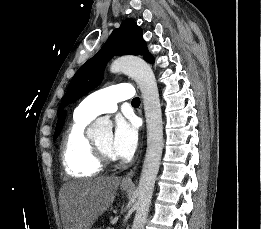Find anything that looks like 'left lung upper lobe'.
Here are the masks:
<instances>
[{
	"label": "left lung upper lobe",
	"instance_id": "left-lung-upper-lobe-1",
	"mask_svg": "<svg viewBox=\"0 0 261 229\" xmlns=\"http://www.w3.org/2000/svg\"><path fill=\"white\" fill-rule=\"evenodd\" d=\"M115 55H143L147 62L154 63L142 38V30L133 19L125 20L119 29H115L101 50L76 72L59 105L58 114L101 83L106 64Z\"/></svg>",
	"mask_w": 261,
	"mask_h": 229
}]
</instances>
